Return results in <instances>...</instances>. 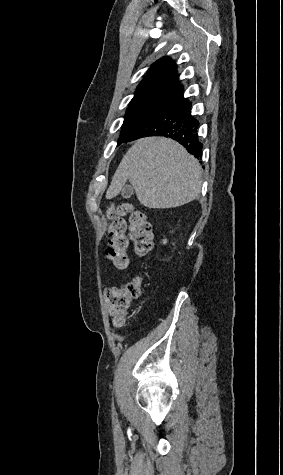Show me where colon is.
I'll list each match as a JSON object with an SVG mask.
<instances>
[{"label":"colon","mask_w":283,"mask_h":475,"mask_svg":"<svg viewBox=\"0 0 283 475\" xmlns=\"http://www.w3.org/2000/svg\"><path fill=\"white\" fill-rule=\"evenodd\" d=\"M107 233L109 244L105 250V257L114 266L123 270L128 267L129 245L138 257L150 255L153 246V237L146 214L140 209H134L128 202L117 203L107 209ZM128 216L130 222V240L125 235L123 217ZM141 289V280L136 278L122 285L110 286L106 293V302L113 325L121 328L133 305L138 299Z\"/></svg>","instance_id":"5ec220e1"}]
</instances>
